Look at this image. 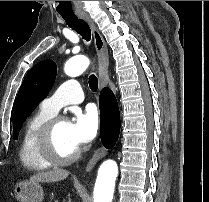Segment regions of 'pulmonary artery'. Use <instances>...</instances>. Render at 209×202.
Wrapping results in <instances>:
<instances>
[{
  "mask_svg": "<svg viewBox=\"0 0 209 202\" xmlns=\"http://www.w3.org/2000/svg\"><path fill=\"white\" fill-rule=\"evenodd\" d=\"M83 101V92L78 80L70 79L57 87L53 96L45 98L41 102L43 110L51 115L69 104H79Z\"/></svg>",
  "mask_w": 209,
  "mask_h": 202,
  "instance_id": "1",
  "label": "pulmonary artery"
}]
</instances>
